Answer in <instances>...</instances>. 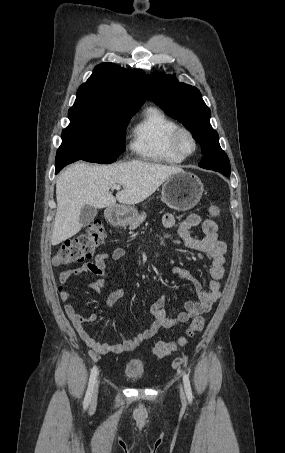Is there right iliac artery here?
<instances>
[{
  "label": "right iliac artery",
  "instance_id": "right-iliac-artery-1",
  "mask_svg": "<svg viewBox=\"0 0 285 453\" xmlns=\"http://www.w3.org/2000/svg\"><path fill=\"white\" fill-rule=\"evenodd\" d=\"M96 377H97V368H96V366H94L91 370L88 388H87L86 395H85L84 402H83L84 408H87L91 401Z\"/></svg>",
  "mask_w": 285,
  "mask_h": 453
}]
</instances>
